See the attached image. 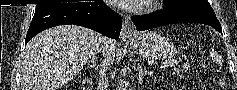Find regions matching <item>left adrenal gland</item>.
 <instances>
[{
	"instance_id": "obj_1",
	"label": "left adrenal gland",
	"mask_w": 237,
	"mask_h": 90,
	"mask_svg": "<svg viewBox=\"0 0 237 90\" xmlns=\"http://www.w3.org/2000/svg\"><path fill=\"white\" fill-rule=\"evenodd\" d=\"M143 76H146V74H145V72H142L141 66H138L137 80H138L139 84H142Z\"/></svg>"
}]
</instances>
